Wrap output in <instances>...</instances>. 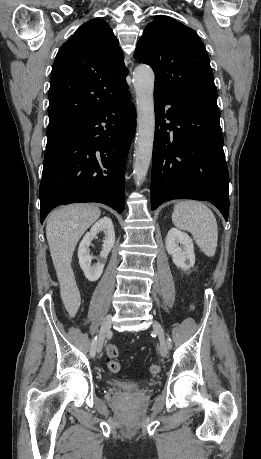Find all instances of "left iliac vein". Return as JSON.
Listing matches in <instances>:
<instances>
[{
	"mask_svg": "<svg viewBox=\"0 0 261 459\" xmlns=\"http://www.w3.org/2000/svg\"><path fill=\"white\" fill-rule=\"evenodd\" d=\"M153 329H154V332L158 335V338H159V342H160L159 351H160V354L163 357H166L167 354H168V346H167V342H166V338H165L164 329H163L162 325L157 321L153 322Z\"/></svg>",
	"mask_w": 261,
	"mask_h": 459,
	"instance_id": "4c4485c4",
	"label": "left iliac vein"
}]
</instances>
